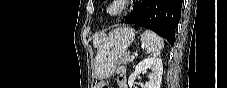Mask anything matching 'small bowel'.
Returning a JSON list of instances; mask_svg holds the SVG:
<instances>
[{"label": "small bowel", "instance_id": "obj_1", "mask_svg": "<svg viewBox=\"0 0 227 88\" xmlns=\"http://www.w3.org/2000/svg\"><path fill=\"white\" fill-rule=\"evenodd\" d=\"M118 73H119V75L117 77V85H118V87L119 88H129L128 79H127V75H126V69L124 67H119L118 68Z\"/></svg>", "mask_w": 227, "mask_h": 88}]
</instances>
